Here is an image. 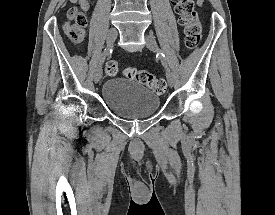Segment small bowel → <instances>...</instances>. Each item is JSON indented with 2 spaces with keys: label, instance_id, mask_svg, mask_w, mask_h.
Here are the masks:
<instances>
[{
  "label": "small bowel",
  "instance_id": "1",
  "mask_svg": "<svg viewBox=\"0 0 275 215\" xmlns=\"http://www.w3.org/2000/svg\"><path fill=\"white\" fill-rule=\"evenodd\" d=\"M197 4L200 6L203 4V0H197Z\"/></svg>",
  "mask_w": 275,
  "mask_h": 215
}]
</instances>
